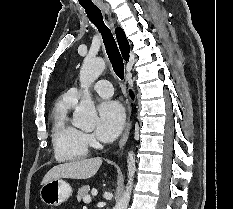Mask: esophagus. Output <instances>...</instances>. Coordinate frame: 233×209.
Instances as JSON below:
<instances>
[{
  "label": "esophagus",
  "mask_w": 233,
  "mask_h": 209,
  "mask_svg": "<svg viewBox=\"0 0 233 209\" xmlns=\"http://www.w3.org/2000/svg\"><path fill=\"white\" fill-rule=\"evenodd\" d=\"M101 8L104 10V12L110 16L111 15V12H110V8L109 6H101ZM130 130H131V113L129 114L128 116V119H127V123H126V127H125V130H124V133L119 141V149L122 150L127 139H128V136H129V133H130Z\"/></svg>",
  "instance_id": "esophagus-1"
}]
</instances>
